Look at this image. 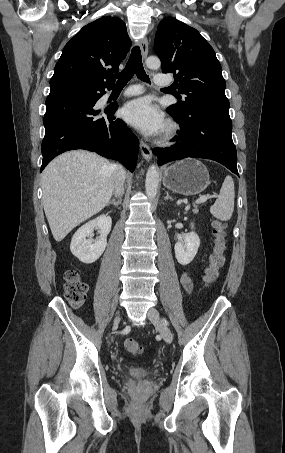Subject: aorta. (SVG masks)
Segmentation results:
<instances>
[{
	"mask_svg": "<svg viewBox=\"0 0 285 453\" xmlns=\"http://www.w3.org/2000/svg\"><path fill=\"white\" fill-rule=\"evenodd\" d=\"M161 65L159 58L157 57H148L146 60V66L150 69H158ZM159 185V173L156 165L152 164L146 173L145 189L146 195L153 199L158 190Z\"/></svg>",
	"mask_w": 285,
	"mask_h": 453,
	"instance_id": "762f6f07",
	"label": "aorta"
}]
</instances>
